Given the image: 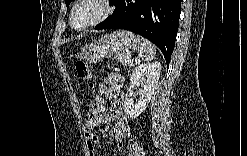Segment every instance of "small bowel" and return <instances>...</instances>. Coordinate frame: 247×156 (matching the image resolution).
Here are the masks:
<instances>
[{"label": "small bowel", "instance_id": "obj_1", "mask_svg": "<svg viewBox=\"0 0 247 156\" xmlns=\"http://www.w3.org/2000/svg\"><path fill=\"white\" fill-rule=\"evenodd\" d=\"M121 91L120 86V77L117 74H111L106 76L99 86V92L101 96L98 98H106L112 101V107L110 113H107L106 103L100 109V118H89V113H91V109L88 113L87 120L83 124V131L86 139V145L89 152V155H95V144L99 143L98 136L94 133V129L97 126L105 125L114 122V126L112 128L111 134L113 140L115 141L118 148H122L126 138L128 136V126L122 118L121 112L118 108V97ZM93 107V105H92Z\"/></svg>", "mask_w": 247, "mask_h": 156}]
</instances>
